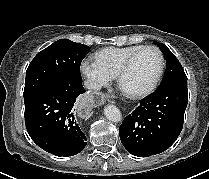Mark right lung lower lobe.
I'll list each match as a JSON object with an SVG mask.
<instances>
[{
  "instance_id": "98d812e1",
  "label": "right lung lower lobe",
  "mask_w": 209,
  "mask_h": 179,
  "mask_svg": "<svg viewBox=\"0 0 209 179\" xmlns=\"http://www.w3.org/2000/svg\"><path fill=\"white\" fill-rule=\"evenodd\" d=\"M85 92L82 82L53 84L25 104V124L32 140L56 156H73L86 146L73 108Z\"/></svg>"
}]
</instances>
